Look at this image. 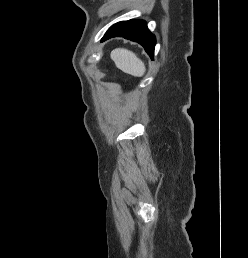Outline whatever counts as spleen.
<instances>
[{"instance_id":"1","label":"spleen","mask_w":248,"mask_h":258,"mask_svg":"<svg viewBox=\"0 0 248 258\" xmlns=\"http://www.w3.org/2000/svg\"><path fill=\"white\" fill-rule=\"evenodd\" d=\"M116 67L124 73L142 77L146 71L144 62L135 53L124 48H116L110 54Z\"/></svg>"}]
</instances>
